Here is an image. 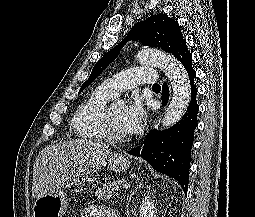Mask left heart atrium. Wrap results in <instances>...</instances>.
Here are the masks:
<instances>
[{
	"instance_id": "obj_1",
	"label": "left heart atrium",
	"mask_w": 255,
	"mask_h": 217,
	"mask_svg": "<svg viewBox=\"0 0 255 217\" xmlns=\"http://www.w3.org/2000/svg\"><path fill=\"white\" fill-rule=\"evenodd\" d=\"M146 116L142 103L137 99L133 100L124 110L123 124L126 133H137L144 125Z\"/></svg>"
}]
</instances>
